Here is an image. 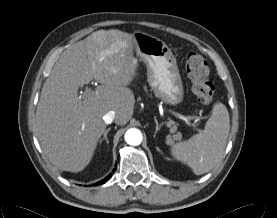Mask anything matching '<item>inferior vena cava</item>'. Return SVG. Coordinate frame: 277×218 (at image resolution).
<instances>
[{"mask_svg": "<svg viewBox=\"0 0 277 218\" xmlns=\"http://www.w3.org/2000/svg\"><path fill=\"white\" fill-rule=\"evenodd\" d=\"M115 116H116V112L113 110H110L103 116V120L106 124H111L115 119Z\"/></svg>", "mask_w": 277, "mask_h": 218, "instance_id": "602c4592", "label": "inferior vena cava"}]
</instances>
